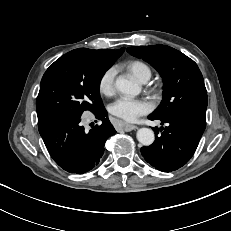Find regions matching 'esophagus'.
<instances>
[{
    "label": "esophagus",
    "instance_id": "obj_1",
    "mask_svg": "<svg viewBox=\"0 0 231 231\" xmlns=\"http://www.w3.org/2000/svg\"><path fill=\"white\" fill-rule=\"evenodd\" d=\"M116 127L118 129H122V130H124L126 132H129V131L137 129V126L136 125H132V124H121V125H117Z\"/></svg>",
    "mask_w": 231,
    "mask_h": 231
}]
</instances>
